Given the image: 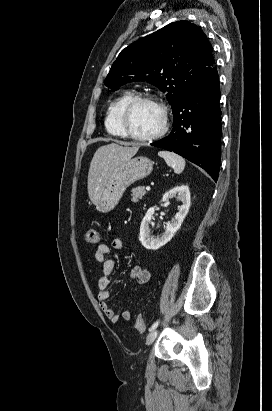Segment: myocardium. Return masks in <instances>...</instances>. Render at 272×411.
Instances as JSON below:
<instances>
[{
  "label": "myocardium",
  "instance_id": "obj_1",
  "mask_svg": "<svg viewBox=\"0 0 272 411\" xmlns=\"http://www.w3.org/2000/svg\"><path fill=\"white\" fill-rule=\"evenodd\" d=\"M142 102H147V103H152L155 106H157L161 112L162 115V124L161 127L153 134L151 135H137L133 133L129 127H128V116L131 111V109L138 103ZM119 122L121 129L125 135V137H128L132 140L135 141H142V142H150V141H155L161 137H163L169 128V116H168V111L164 103L159 99L154 96L150 95H137V96H132L122 107L119 115Z\"/></svg>",
  "mask_w": 272,
  "mask_h": 411
}]
</instances>
